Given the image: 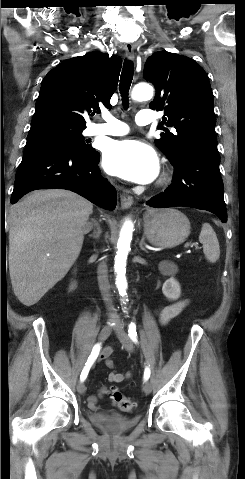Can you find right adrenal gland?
Here are the masks:
<instances>
[{"label":"right adrenal gland","mask_w":245,"mask_h":479,"mask_svg":"<svg viewBox=\"0 0 245 479\" xmlns=\"http://www.w3.org/2000/svg\"><path fill=\"white\" fill-rule=\"evenodd\" d=\"M92 221L94 223V226H95L96 230H94V232L92 234H89V237H92L94 239H99V237L102 233V230L100 228V225L95 220H92Z\"/></svg>","instance_id":"right-adrenal-gland-1"}]
</instances>
